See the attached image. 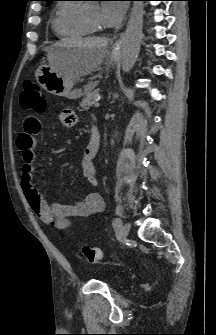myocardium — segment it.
Segmentation results:
<instances>
[{"label":"myocardium","instance_id":"f54148a6","mask_svg":"<svg viewBox=\"0 0 216 335\" xmlns=\"http://www.w3.org/2000/svg\"><path fill=\"white\" fill-rule=\"evenodd\" d=\"M82 18L85 23V25L88 27V29L93 33H100L102 32V28L95 26L88 18L85 10L82 11Z\"/></svg>","mask_w":216,"mask_h":335}]
</instances>
